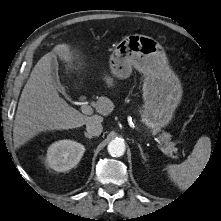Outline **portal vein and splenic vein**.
Masks as SVG:
<instances>
[{
	"label": "portal vein and splenic vein",
	"instance_id": "portal-vein-and-splenic-vein-1",
	"mask_svg": "<svg viewBox=\"0 0 221 221\" xmlns=\"http://www.w3.org/2000/svg\"><path fill=\"white\" fill-rule=\"evenodd\" d=\"M81 111L84 113V114H87V115H91L93 113V109L91 106H89L88 104L86 103H83L82 106H81ZM158 148L163 152V153H166L165 152V149L161 146V145H158Z\"/></svg>",
	"mask_w": 221,
	"mask_h": 221
}]
</instances>
